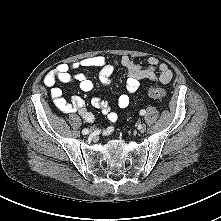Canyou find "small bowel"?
<instances>
[{
  "mask_svg": "<svg viewBox=\"0 0 221 221\" xmlns=\"http://www.w3.org/2000/svg\"><path fill=\"white\" fill-rule=\"evenodd\" d=\"M117 65L126 68L128 77L126 80L127 93L121 94L117 99V105L121 109L128 107L130 103V94L135 93L139 88V82L142 79L157 81L163 84L170 82L173 78L172 70L165 63H160L159 59L150 57L147 66H141L129 56H122L118 59L108 62L104 56H92L79 60L73 64H60L55 69L49 71L45 78V85L50 88V95L54 105L63 113L79 114L86 122L92 123L95 120L94 115L87 110L85 101L74 96L70 101L63 97L62 89L56 85L57 81L62 83H76L79 87L89 92L94 89V83L84 73L79 72L81 68H99V81L102 85H109L112 81L114 69ZM94 108L101 110L107 119L114 123L118 119V114L112 111L109 105L100 97L94 96L91 99ZM114 131L112 126L102 129L103 135H110Z\"/></svg>",
  "mask_w": 221,
  "mask_h": 221,
  "instance_id": "obj_1",
  "label": "small bowel"
}]
</instances>
